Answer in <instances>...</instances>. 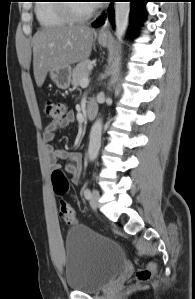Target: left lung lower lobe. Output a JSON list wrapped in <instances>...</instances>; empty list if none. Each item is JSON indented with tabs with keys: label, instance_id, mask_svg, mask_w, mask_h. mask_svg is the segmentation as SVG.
Returning a JSON list of instances; mask_svg holds the SVG:
<instances>
[{
	"label": "left lung lower lobe",
	"instance_id": "left-lung-lower-lobe-1",
	"mask_svg": "<svg viewBox=\"0 0 195 299\" xmlns=\"http://www.w3.org/2000/svg\"><path fill=\"white\" fill-rule=\"evenodd\" d=\"M131 2V23H132V32L134 35H136V31L138 30L139 24L144 20L145 18V4L148 2V0H128ZM114 2V1H112ZM110 20L113 21V10L112 6L110 8ZM106 14L100 16L97 18L92 26L93 27H100L104 20H105Z\"/></svg>",
	"mask_w": 195,
	"mask_h": 299
}]
</instances>
